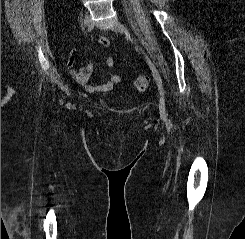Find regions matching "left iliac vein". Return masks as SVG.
Masks as SVG:
<instances>
[{"label":"left iliac vein","instance_id":"left-iliac-vein-1","mask_svg":"<svg viewBox=\"0 0 245 239\" xmlns=\"http://www.w3.org/2000/svg\"><path fill=\"white\" fill-rule=\"evenodd\" d=\"M111 29L115 32H118L120 34H124L128 40L133 41V37L130 33V31L118 20H115L113 24L111 25ZM145 59L152 71L153 77L157 83L159 93H160V100H159V109L161 113H165V100H164V91H163V85L162 80L159 75V72L153 62L150 60L148 56H145Z\"/></svg>","mask_w":245,"mask_h":239}]
</instances>
